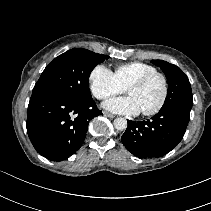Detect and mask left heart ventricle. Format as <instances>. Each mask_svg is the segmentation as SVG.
Instances as JSON below:
<instances>
[{
  "instance_id": "obj_1",
  "label": "left heart ventricle",
  "mask_w": 211,
  "mask_h": 211,
  "mask_svg": "<svg viewBox=\"0 0 211 211\" xmlns=\"http://www.w3.org/2000/svg\"><path fill=\"white\" fill-rule=\"evenodd\" d=\"M137 101L141 111H148L155 108L163 95V82L161 78L155 77L142 87L131 88L128 91Z\"/></svg>"
}]
</instances>
